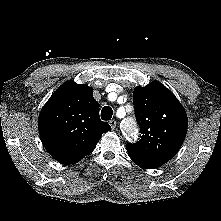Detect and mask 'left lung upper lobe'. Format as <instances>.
Wrapping results in <instances>:
<instances>
[{"label": "left lung upper lobe", "mask_w": 221, "mask_h": 221, "mask_svg": "<svg viewBox=\"0 0 221 221\" xmlns=\"http://www.w3.org/2000/svg\"><path fill=\"white\" fill-rule=\"evenodd\" d=\"M135 116L140 126L138 142L127 144L137 163L159 167L178 152L187 131V115L174 94L160 82L134 89Z\"/></svg>", "instance_id": "left-lung-upper-lobe-1"}]
</instances>
